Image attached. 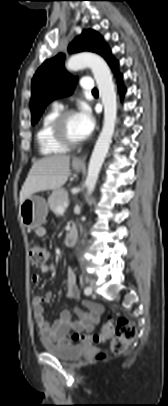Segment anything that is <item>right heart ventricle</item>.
Segmentation results:
<instances>
[{
  "label": "right heart ventricle",
  "mask_w": 168,
  "mask_h": 406,
  "mask_svg": "<svg viewBox=\"0 0 168 406\" xmlns=\"http://www.w3.org/2000/svg\"><path fill=\"white\" fill-rule=\"evenodd\" d=\"M60 113V108L53 107L42 118L39 128L36 132V141L39 151L42 155H55L63 153L67 147L59 144L53 137L52 125Z\"/></svg>",
  "instance_id": "obj_1"
}]
</instances>
